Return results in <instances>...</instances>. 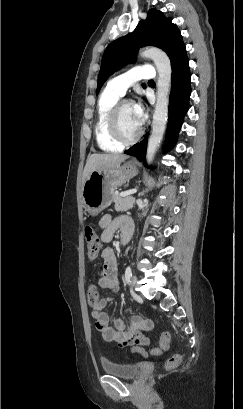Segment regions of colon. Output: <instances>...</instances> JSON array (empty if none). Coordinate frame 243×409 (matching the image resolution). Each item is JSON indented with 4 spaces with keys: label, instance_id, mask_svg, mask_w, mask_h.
Wrapping results in <instances>:
<instances>
[{
    "label": "colon",
    "instance_id": "colon-1",
    "mask_svg": "<svg viewBox=\"0 0 243 409\" xmlns=\"http://www.w3.org/2000/svg\"><path fill=\"white\" fill-rule=\"evenodd\" d=\"M84 237H85V241L87 244L88 256L91 258L96 257L101 249V241L97 233L94 231V229L91 226H86L84 229ZM87 298H88V303L90 305H96L99 302L98 291L95 288L90 287L88 290ZM170 339H171L170 334L164 332L161 335V338L158 344V348H154L153 353L158 354L162 351H166L169 348ZM180 361H181V355L173 354L167 359L165 367L168 370L175 369L176 367L179 366Z\"/></svg>",
    "mask_w": 243,
    "mask_h": 409
}]
</instances>
